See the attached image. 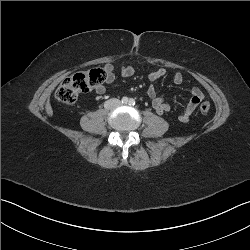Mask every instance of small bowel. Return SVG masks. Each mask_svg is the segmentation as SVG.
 I'll list each match as a JSON object with an SVG mask.
<instances>
[{
	"instance_id": "small-bowel-1",
	"label": "small bowel",
	"mask_w": 250,
	"mask_h": 250,
	"mask_svg": "<svg viewBox=\"0 0 250 250\" xmlns=\"http://www.w3.org/2000/svg\"><path fill=\"white\" fill-rule=\"evenodd\" d=\"M105 73V81L102 84L96 86L95 91L98 94H104L106 91L105 84H110L115 80V66L111 63L105 64L103 67ZM137 71V68L133 65H123L119 67V73L122 77L128 78L133 76ZM167 70L165 68H159L148 74V80L150 82L147 88V95L151 99V104L153 109L157 114L162 115L170 111L171 106L165 102V100L158 95L154 83L165 76ZM173 83L177 86H184V78L181 73H176L173 76ZM191 99L188 104L185 106L183 111L177 116L178 121L187 122L192 116L193 112L197 106L201 103L204 98L203 92L198 87H192L191 90Z\"/></svg>"
}]
</instances>
